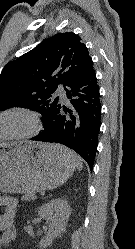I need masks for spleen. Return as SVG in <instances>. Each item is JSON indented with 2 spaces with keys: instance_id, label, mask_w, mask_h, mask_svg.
<instances>
[{
  "instance_id": "1",
  "label": "spleen",
  "mask_w": 135,
  "mask_h": 249,
  "mask_svg": "<svg viewBox=\"0 0 135 249\" xmlns=\"http://www.w3.org/2000/svg\"><path fill=\"white\" fill-rule=\"evenodd\" d=\"M58 149L61 151V154L63 155V157H67L69 159H71L74 164L75 167L80 171L83 168V162L82 159L75 154L73 151L69 150L68 148H65L63 146H59Z\"/></svg>"
}]
</instances>
